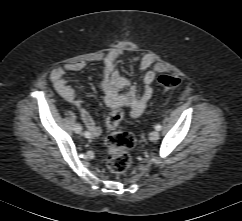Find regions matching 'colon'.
<instances>
[{"mask_svg":"<svg viewBox=\"0 0 242 221\" xmlns=\"http://www.w3.org/2000/svg\"><path fill=\"white\" fill-rule=\"evenodd\" d=\"M158 82L164 89H174L181 85L182 80L177 76L161 75ZM124 116V110L118 107L112 110L106 120L108 130L106 139L108 148L107 167L117 175L124 174L130 167L132 162L130 150L136 144V139L132 133L120 129Z\"/></svg>","mask_w":242,"mask_h":221,"instance_id":"obj_1","label":"colon"}]
</instances>
